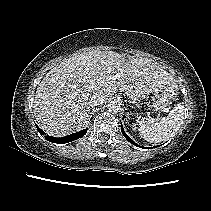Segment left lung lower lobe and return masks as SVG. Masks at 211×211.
<instances>
[{
    "label": "left lung lower lobe",
    "instance_id": "obj_1",
    "mask_svg": "<svg viewBox=\"0 0 211 211\" xmlns=\"http://www.w3.org/2000/svg\"><path fill=\"white\" fill-rule=\"evenodd\" d=\"M121 131H122L123 136H124L130 143H132V144L138 146V145H137L130 137H128V135L125 133L122 124H121Z\"/></svg>",
    "mask_w": 211,
    "mask_h": 211
}]
</instances>
